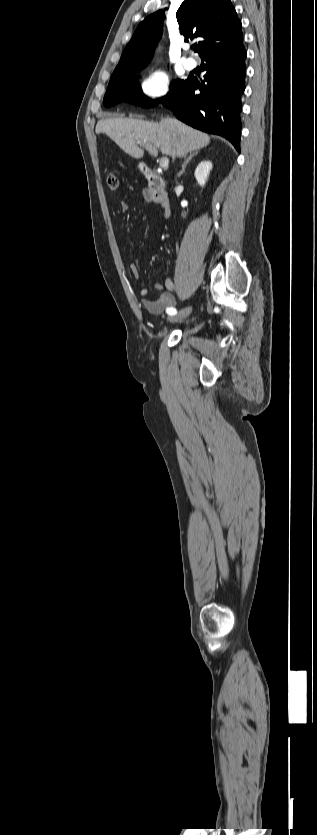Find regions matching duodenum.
Returning a JSON list of instances; mask_svg holds the SVG:
<instances>
[{
  "instance_id": "duodenum-1",
  "label": "duodenum",
  "mask_w": 317,
  "mask_h": 835,
  "mask_svg": "<svg viewBox=\"0 0 317 835\" xmlns=\"http://www.w3.org/2000/svg\"><path fill=\"white\" fill-rule=\"evenodd\" d=\"M140 169L148 181L152 199L158 204H165L168 201V194L165 189V182L163 178L154 173L146 165H141Z\"/></svg>"
}]
</instances>
